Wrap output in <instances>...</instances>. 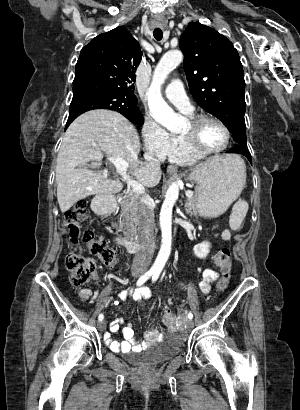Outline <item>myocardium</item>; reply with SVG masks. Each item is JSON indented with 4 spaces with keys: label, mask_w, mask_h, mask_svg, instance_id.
Wrapping results in <instances>:
<instances>
[{
    "label": "myocardium",
    "mask_w": 300,
    "mask_h": 410,
    "mask_svg": "<svg viewBox=\"0 0 300 410\" xmlns=\"http://www.w3.org/2000/svg\"><path fill=\"white\" fill-rule=\"evenodd\" d=\"M204 121H213L215 123H217L224 131L225 135H226V141L224 143V145L218 149H214V150H204L202 149V147L200 146V143L198 141V136H197V129L199 127V125L201 123H203ZM181 137L183 138L184 142L186 143L187 147L196 155L200 156V157H207L210 155H214V154H218L221 153L223 151H225L230 142H231V131L229 129V127L226 125V123L221 120L220 118L213 116V115H209V114H199V115H195L192 116L189 120V130L186 133H183L181 135Z\"/></svg>",
    "instance_id": "myocardium-1"
}]
</instances>
